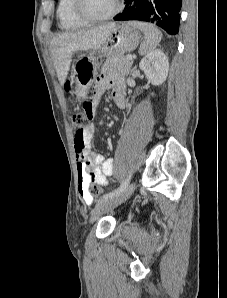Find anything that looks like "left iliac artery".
Instances as JSON below:
<instances>
[{"label":"left iliac artery","instance_id":"obj_1","mask_svg":"<svg viewBox=\"0 0 227 298\" xmlns=\"http://www.w3.org/2000/svg\"><path fill=\"white\" fill-rule=\"evenodd\" d=\"M132 173L130 172V174L128 175L127 179L124 180V182L115 190L105 194L102 196V199H106V198H110L113 197L119 193H121L129 184L130 178H131Z\"/></svg>","mask_w":227,"mask_h":298}]
</instances>
